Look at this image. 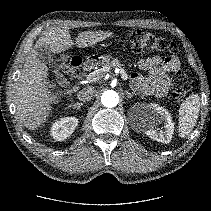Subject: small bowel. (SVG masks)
I'll use <instances>...</instances> for the list:
<instances>
[{
    "instance_id": "1",
    "label": "small bowel",
    "mask_w": 211,
    "mask_h": 211,
    "mask_svg": "<svg viewBox=\"0 0 211 211\" xmlns=\"http://www.w3.org/2000/svg\"><path fill=\"white\" fill-rule=\"evenodd\" d=\"M138 65L147 72V75L133 74L132 81L134 86L144 94L157 97L166 95L170 85V75L180 66L177 58L162 59L158 55L141 58Z\"/></svg>"
}]
</instances>
